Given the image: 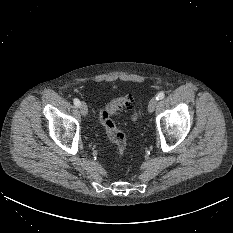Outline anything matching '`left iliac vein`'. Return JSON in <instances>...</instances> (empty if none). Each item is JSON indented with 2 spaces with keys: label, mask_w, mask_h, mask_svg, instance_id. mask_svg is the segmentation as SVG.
I'll use <instances>...</instances> for the list:
<instances>
[{
  "label": "left iliac vein",
  "mask_w": 233,
  "mask_h": 233,
  "mask_svg": "<svg viewBox=\"0 0 233 233\" xmlns=\"http://www.w3.org/2000/svg\"><path fill=\"white\" fill-rule=\"evenodd\" d=\"M157 103H158V100L156 97L151 98V100L149 101V104H148V112L149 113H152L155 110Z\"/></svg>",
  "instance_id": "obj_1"
}]
</instances>
